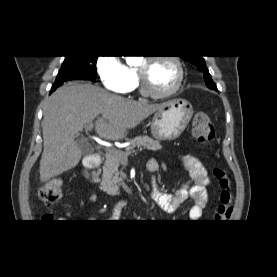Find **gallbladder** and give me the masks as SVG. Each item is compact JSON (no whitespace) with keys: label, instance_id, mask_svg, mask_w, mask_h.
<instances>
[{"label":"gallbladder","instance_id":"obj_1","mask_svg":"<svg viewBox=\"0 0 277 277\" xmlns=\"http://www.w3.org/2000/svg\"><path fill=\"white\" fill-rule=\"evenodd\" d=\"M75 142L83 155H91L93 153V148L86 139L76 138Z\"/></svg>","mask_w":277,"mask_h":277}]
</instances>
